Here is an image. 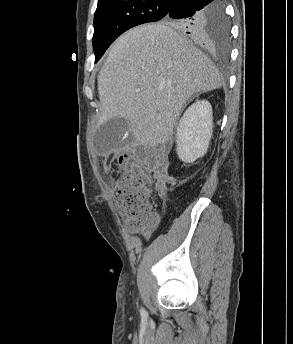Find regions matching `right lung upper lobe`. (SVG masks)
<instances>
[{
    "mask_svg": "<svg viewBox=\"0 0 293 344\" xmlns=\"http://www.w3.org/2000/svg\"><path fill=\"white\" fill-rule=\"evenodd\" d=\"M102 1H105V0H98V3H99V2H102ZM171 1H173V2H174L175 0H171Z\"/></svg>",
    "mask_w": 293,
    "mask_h": 344,
    "instance_id": "right-lung-upper-lobe-1",
    "label": "right lung upper lobe"
}]
</instances>
